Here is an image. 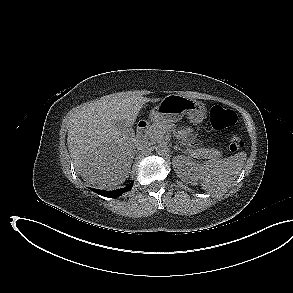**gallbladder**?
I'll return each instance as SVG.
<instances>
[{
	"mask_svg": "<svg viewBox=\"0 0 293 293\" xmlns=\"http://www.w3.org/2000/svg\"><path fill=\"white\" fill-rule=\"evenodd\" d=\"M116 128L120 131H122L124 134H127L129 136L134 135V130L131 126L127 125L125 121H117L115 124Z\"/></svg>",
	"mask_w": 293,
	"mask_h": 293,
	"instance_id": "1",
	"label": "gallbladder"
}]
</instances>
